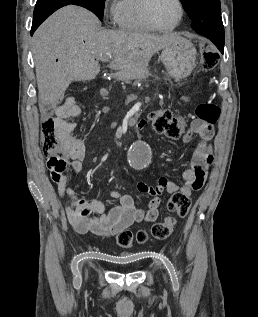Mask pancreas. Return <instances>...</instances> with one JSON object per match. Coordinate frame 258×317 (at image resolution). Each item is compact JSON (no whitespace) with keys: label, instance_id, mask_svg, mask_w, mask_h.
<instances>
[{"label":"pancreas","instance_id":"cf45deb5","mask_svg":"<svg viewBox=\"0 0 258 317\" xmlns=\"http://www.w3.org/2000/svg\"><path fill=\"white\" fill-rule=\"evenodd\" d=\"M139 81H140V82H142L143 80H142V79H140Z\"/></svg>","mask_w":258,"mask_h":317}]
</instances>
